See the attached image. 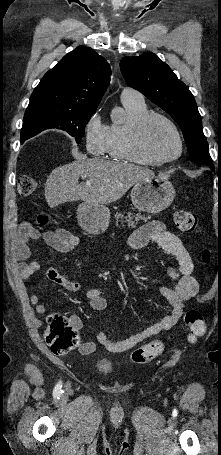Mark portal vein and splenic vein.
Listing matches in <instances>:
<instances>
[{
  "label": "portal vein and splenic vein",
  "instance_id": "1",
  "mask_svg": "<svg viewBox=\"0 0 221 455\" xmlns=\"http://www.w3.org/2000/svg\"><path fill=\"white\" fill-rule=\"evenodd\" d=\"M82 177H83L84 179H86V178H87V176H86V175H83Z\"/></svg>",
  "mask_w": 221,
  "mask_h": 455
}]
</instances>
